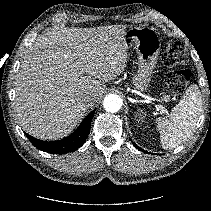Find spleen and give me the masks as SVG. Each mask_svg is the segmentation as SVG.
Here are the masks:
<instances>
[{
	"instance_id": "obj_1",
	"label": "spleen",
	"mask_w": 211,
	"mask_h": 211,
	"mask_svg": "<svg viewBox=\"0 0 211 211\" xmlns=\"http://www.w3.org/2000/svg\"><path fill=\"white\" fill-rule=\"evenodd\" d=\"M201 110V92L198 86L193 84L172 109L169 118L156 119L162 147L173 149L186 141L196 127Z\"/></svg>"
}]
</instances>
